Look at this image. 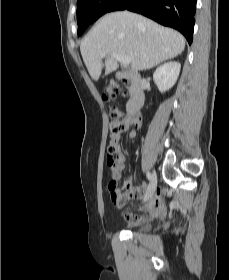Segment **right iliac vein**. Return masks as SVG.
Masks as SVG:
<instances>
[{
	"label": "right iliac vein",
	"instance_id": "right-iliac-vein-1",
	"mask_svg": "<svg viewBox=\"0 0 229 280\" xmlns=\"http://www.w3.org/2000/svg\"><path fill=\"white\" fill-rule=\"evenodd\" d=\"M157 186V177L155 172H153L152 177H151V181H150V185H149V191H154L156 189Z\"/></svg>",
	"mask_w": 229,
	"mask_h": 280
}]
</instances>
